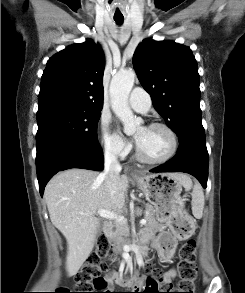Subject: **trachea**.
Wrapping results in <instances>:
<instances>
[{
	"label": "trachea",
	"mask_w": 245,
	"mask_h": 293,
	"mask_svg": "<svg viewBox=\"0 0 245 293\" xmlns=\"http://www.w3.org/2000/svg\"><path fill=\"white\" fill-rule=\"evenodd\" d=\"M115 22L118 24V25H121L123 23V18H120V19H114Z\"/></svg>",
	"instance_id": "3493384b"
}]
</instances>
